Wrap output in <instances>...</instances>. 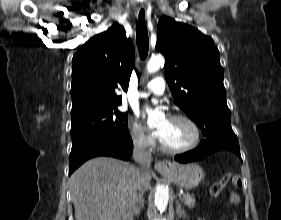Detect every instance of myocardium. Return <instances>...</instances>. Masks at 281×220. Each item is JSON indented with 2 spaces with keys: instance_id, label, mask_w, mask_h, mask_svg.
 I'll use <instances>...</instances> for the list:
<instances>
[{
  "instance_id": "1",
  "label": "myocardium",
  "mask_w": 281,
  "mask_h": 220,
  "mask_svg": "<svg viewBox=\"0 0 281 220\" xmlns=\"http://www.w3.org/2000/svg\"><path fill=\"white\" fill-rule=\"evenodd\" d=\"M169 120L184 121V122L188 123L191 126L193 133H194L193 140L190 144H188L184 147H180V148H169L166 145H164V143L160 140L161 150L168 154H182V153H186V152H189V151L195 149L198 146V144L200 143V139H201L200 128H199L198 124L196 123V121L194 119H192L191 117L184 115V114L172 115L169 118Z\"/></svg>"
}]
</instances>
